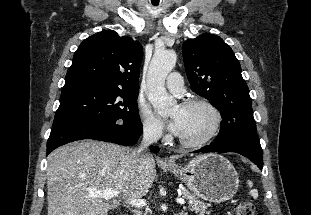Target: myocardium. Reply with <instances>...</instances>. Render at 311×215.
Here are the masks:
<instances>
[{"instance_id":"1","label":"myocardium","mask_w":311,"mask_h":215,"mask_svg":"<svg viewBox=\"0 0 311 215\" xmlns=\"http://www.w3.org/2000/svg\"><path fill=\"white\" fill-rule=\"evenodd\" d=\"M181 107H191V106H204L206 107L213 115L214 122L210 131L200 140L188 141L178 137V141L181 145L187 148H200L208 144L219 132L222 124V115L219 109L209 100L204 98H189L181 102Z\"/></svg>"}]
</instances>
